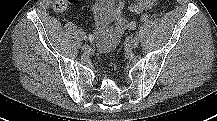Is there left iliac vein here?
I'll use <instances>...</instances> for the list:
<instances>
[{"label": "left iliac vein", "instance_id": "left-iliac-vein-1", "mask_svg": "<svg viewBox=\"0 0 217 121\" xmlns=\"http://www.w3.org/2000/svg\"><path fill=\"white\" fill-rule=\"evenodd\" d=\"M138 44H139V39L137 37H130L127 40V46L130 49H134L138 47Z\"/></svg>", "mask_w": 217, "mask_h": 121}]
</instances>
